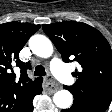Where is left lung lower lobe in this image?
Here are the masks:
<instances>
[{
    "label": "left lung lower lobe",
    "mask_w": 112,
    "mask_h": 112,
    "mask_svg": "<svg viewBox=\"0 0 112 112\" xmlns=\"http://www.w3.org/2000/svg\"><path fill=\"white\" fill-rule=\"evenodd\" d=\"M109 104L97 101L74 99L70 109L61 112H104Z\"/></svg>",
    "instance_id": "left-lung-lower-lobe-1"
}]
</instances>
